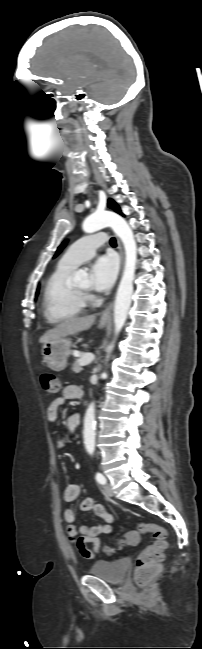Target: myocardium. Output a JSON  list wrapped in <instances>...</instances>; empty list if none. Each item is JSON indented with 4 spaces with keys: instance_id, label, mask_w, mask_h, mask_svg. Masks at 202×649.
<instances>
[{
    "instance_id": "myocardium-1",
    "label": "myocardium",
    "mask_w": 202,
    "mask_h": 649,
    "mask_svg": "<svg viewBox=\"0 0 202 649\" xmlns=\"http://www.w3.org/2000/svg\"><path fill=\"white\" fill-rule=\"evenodd\" d=\"M73 292L75 296L82 302L85 303L89 300V294L88 291H83L78 289L76 286H72Z\"/></svg>"
}]
</instances>
